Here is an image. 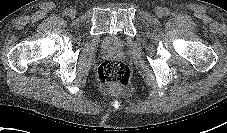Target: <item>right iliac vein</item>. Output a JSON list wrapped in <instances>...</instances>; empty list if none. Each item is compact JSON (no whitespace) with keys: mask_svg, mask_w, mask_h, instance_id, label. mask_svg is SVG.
<instances>
[{"mask_svg":"<svg viewBox=\"0 0 227 133\" xmlns=\"http://www.w3.org/2000/svg\"><path fill=\"white\" fill-rule=\"evenodd\" d=\"M75 15H76V11L74 9H71L69 12V16L73 18L75 17Z\"/></svg>","mask_w":227,"mask_h":133,"instance_id":"63e3f726","label":"right iliac vein"}]
</instances>
